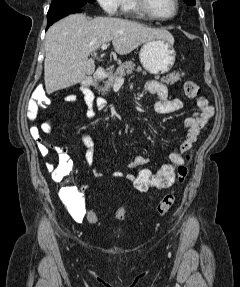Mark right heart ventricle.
I'll return each mask as SVG.
<instances>
[{"mask_svg":"<svg viewBox=\"0 0 240 287\" xmlns=\"http://www.w3.org/2000/svg\"><path fill=\"white\" fill-rule=\"evenodd\" d=\"M120 12L127 17L142 18L144 15L140 12L136 0H121Z\"/></svg>","mask_w":240,"mask_h":287,"instance_id":"right-heart-ventricle-1","label":"right heart ventricle"}]
</instances>
